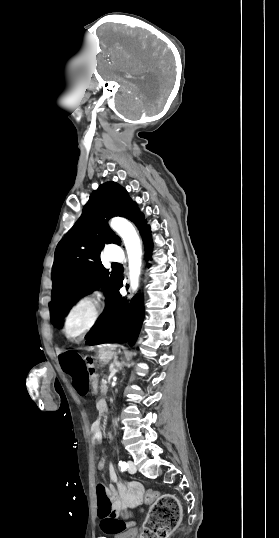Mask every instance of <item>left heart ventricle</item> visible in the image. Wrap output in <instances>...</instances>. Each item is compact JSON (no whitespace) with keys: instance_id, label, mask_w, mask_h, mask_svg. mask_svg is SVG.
Segmentation results:
<instances>
[{"instance_id":"1","label":"left heart ventricle","mask_w":279,"mask_h":538,"mask_svg":"<svg viewBox=\"0 0 279 538\" xmlns=\"http://www.w3.org/2000/svg\"><path fill=\"white\" fill-rule=\"evenodd\" d=\"M88 318H89V310L87 308H84L78 311L77 314L73 318L71 331L77 332L78 330H80L85 325Z\"/></svg>"}]
</instances>
